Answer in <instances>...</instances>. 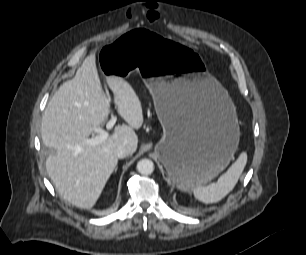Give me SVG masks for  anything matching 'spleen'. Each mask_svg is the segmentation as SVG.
<instances>
[{"instance_id": "1", "label": "spleen", "mask_w": 306, "mask_h": 255, "mask_svg": "<svg viewBox=\"0 0 306 255\" xmlns=\"http://www.w3.org/2000/svg\"><path fill=\"white\" fill-rule=\"evenodd\" d=\"M247 162V154L241 153L238 159L222 174L216 183L197 186L194 196L204 203H215L223 199L236 185Z\"/></svg>"}]
</instances>
